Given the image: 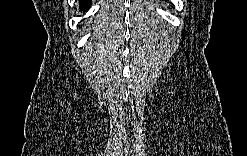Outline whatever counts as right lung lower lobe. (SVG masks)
Instances as JSON below:
<instances>
[{
	"mask_svg": "<svg viewBox=\"0 0 247 156\" xmlns=\"http://www.w3.org/2000/svg\"><path fill=\"white\" fill-rule=\"evenodd\" d=\"M90 8V1H80V9L81 10H87V9H89Z\"/></svg>",
	"mask_w": 247,
	"mask_h": 156,
	"instance_id": "obj_1",
	"label": "right lung lower lobe"
}]
</instances>
